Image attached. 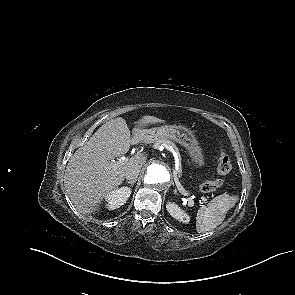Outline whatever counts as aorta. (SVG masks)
I'll use <instances>...</instances> for the list:
<instances>
[{"mask_svg":"<svg viewBox=\"0 0 295 295\" xmlns=\"http://www.w3.org/2000/svg\"><path fill=\"white\" fill-rule=\"evenodd\" d=\"M170 181V173L168 169L159 163H151L145 172L144 182L146 186L157 188L165 186Z\"/></svg>","mask_w":295,"mask_h":295,"instance_id":"762f6f07","label":"aorta"}]
</instances>
